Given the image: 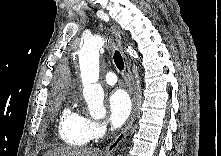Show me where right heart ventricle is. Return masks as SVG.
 I'll return each instance as SVG.
<instances>
[{"label":"right heart ventricle","mask_w":221,"mask_h":156,"mask_svg":"<svg viewBox=\"0 0 221 156\" xmlns=\"http://www.w3.org/2000/svg\"><path fill=\"white\" fill-rule=\"evenodd\" d=\"M59 136L67 145L85 146L90 141L85 128V118L71 108H65L60 116Z\"/></svg>","instance_id":"e07e8e85"}]
</instances>
